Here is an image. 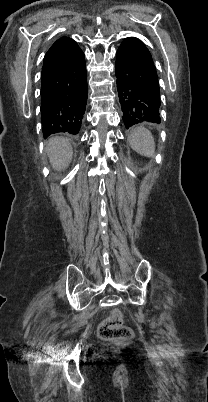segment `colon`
I'll list each match as a JSON object with an SVG mask.
<instances>
[{
	"label": "colon",
	"mask_w": 208,
	"mask_h": 402,
	"mask_svg": "<svg viewBox=\"0 0 208 402\" xmlns=\"http://www.w3.org/2000/svg\"><path fill=\"white\" fill-rule=\"evenodd\" d=\"M100 336L104 340L115 338H130L132 335L128 324H122L119 316L117 318H104L103 323L99 325Z\"/></svg>",
	"instance_id": "obj_1"
}]
</instances>
